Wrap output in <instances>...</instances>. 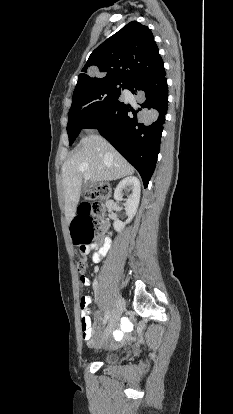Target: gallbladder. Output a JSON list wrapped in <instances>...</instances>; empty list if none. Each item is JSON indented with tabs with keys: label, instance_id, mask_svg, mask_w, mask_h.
I'll list each match as a JSON object with an SVG mask.
<instances>
[{
	"label": "gallbladder",
	"instance_id": "bac80fb5",
	"mask_svg": "<svg viewBox=\"0 0 233 414\" xmlns=\"http://www.w3.org/2000/svg\"><path fill=\"white\" fill-rule=\"evenodd\" d=\"M91 187H92V183H90V182L83 183V185H82V192L83 193L88 192Z\"/></svg>",
	"mask_w": 233,
	"mask_h": 414
}]
</instances>
